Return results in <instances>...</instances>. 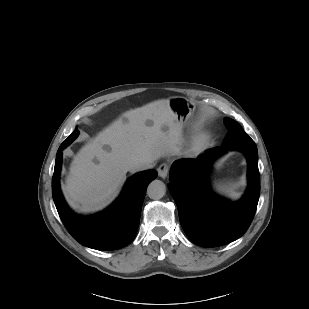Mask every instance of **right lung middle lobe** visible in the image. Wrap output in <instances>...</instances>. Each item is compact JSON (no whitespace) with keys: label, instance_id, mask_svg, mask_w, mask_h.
<instances>
[{"label":"right lung middle lobe","instance_id":"obj_1","mask_svg":"<svg viewBox=\"0 0 309 309\" xmlns=\"http://www.w3.org/2000/svg\"><path fill=\"white\" fill-rule=\"evenodd\" d=\"M79 132L76 129L61 145L68 146L78 136Z\"/></svg>","mask_w":309,"mask_h":309}]
</instances>
